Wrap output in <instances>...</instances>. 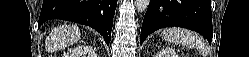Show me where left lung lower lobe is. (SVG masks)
Wrapping results in <instances>:
<instances>
[{
    "mask_svg": "<svg viewBox=\"0 0 249 57\" xmlns=\"http://www.w3.org/2000/svg\"><path fill=\"white\" fill-rule=\"evenodd\" d=\"M170 26L196 31L211 43V0H151L142 24L141 44L150 33Z\"/></svg>",
    "mask_w": 249,
    "mask_h": 57,
    "instance_id": "0a47b994",
    "label": "left lung lower lobe"
}]
</instances>
